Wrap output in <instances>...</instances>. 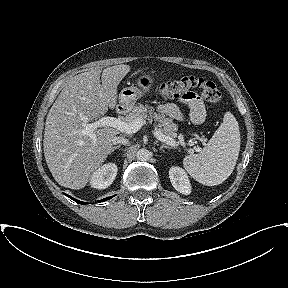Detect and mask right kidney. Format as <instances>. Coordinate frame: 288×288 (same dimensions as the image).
<instances>
[{
	"label": "right kidney",
	"instance_id": "1",
	"mask_svg": "<svg viewBox=\"0 0 288 288\" xmlns=\"http://www.w3.org/2000/svg\"><path fill=\"white\" fill-rule=\"evenodd\" d=\"M117 171V166L114 163L104 164L92 174L91 187L99 190L109 187L114 181Z\"/></svg>",
	"mask_w": 288,
	"mask_h": 288
}]
</instances>
